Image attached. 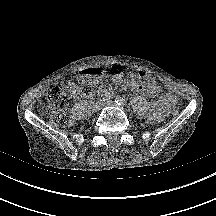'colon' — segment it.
<instances>
[{"label":"colon","instance_id":"obj_1","mask_svg":"<svg viewBox=\"0 0 216 216\" xmlns=\"http://www.w3.org/2000/svg\"><path fill=\"white\" fill-rule=\"evenodd\" d=\"M78 87L73 84L55 85L47 95L48 105L46 113L51 117L52 122L60 127H68L72 124V117L68 111L69 102L75 98ZM169 113L172 116H177L179 113L176 99L169 107Z\"/></svg>","mask_w":216,"mask_h":216}]
</instances>
